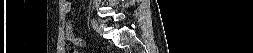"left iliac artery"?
<instances>
[{
    "mask_svg": "<svg viewBox=\"0 0 253 53\" xmlns=\"http://www.w3.org/2000/svg\"><path fill=\"white\" fill-rule=\"evenodd\" d=\"M91 24L94 29H97V21L94 18L91 19Z\"/></svg>",
    "mask_w": 253,
    "mask_h": 53,
    "instance_id": "left-iliac-artery-1",
    "label": "left iliac artery"
}]
</instances>
